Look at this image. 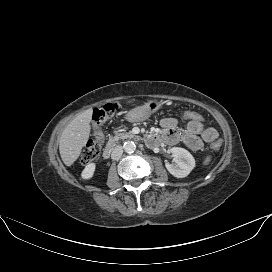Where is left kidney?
<instances>
[{"instance_id":"obj_1","label":"left kidney","mask_w":272,"mask_h":272,"mask_svg":"<svg viewBox=\"0 0 272 272\" xmlns=\"http://www.w3.org/2000/svg\"><path fill=\"white\" fill-rule=\"evenodd\" d=\"M169 152L174 157V164L166 163L165 166L170 174L177 178H184L195 167V159L189 151L181 147H173Z\"/></svg>"}]
</instances>
